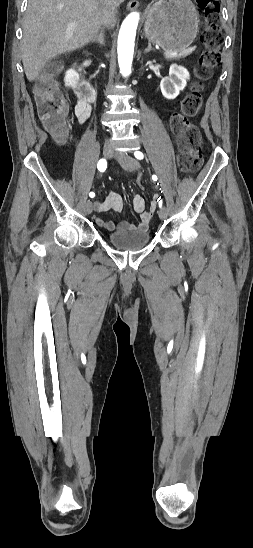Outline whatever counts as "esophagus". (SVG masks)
<instances>
[{
    "label": "esophagus",
    "instance_id": "esophagus-1",
    "mask_svg": "<svg viewBox=\"0 0 253 548\" xmlns=\"http://www.w3.org/2000/svg\"><path fill=\"white\" fill-rule=\"evenodd\" d=\"M139 6L138 0H130L127 4L128 10H135Z\"/></svg>",
    "mask_w": 253,
    "mask_h": 548
}]
</instances>
